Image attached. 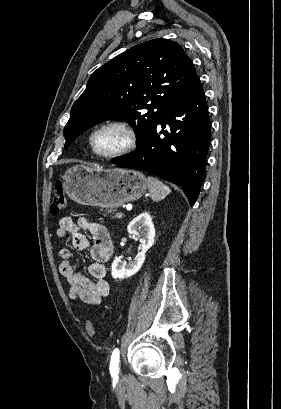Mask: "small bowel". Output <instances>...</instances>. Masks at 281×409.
I'll list each match as a JSON object with an SVG mask.
<instances>
[{
	"mask_svg": "<svg viewBox=\"0 0 281 409\" xmlns=\"http://www.w3.org/2000/svg\"><path fill=\"white\" fill-rule=\"evenodd\" d=\"M82 230L91 234V245ZM56 235L59 239L71 243L78 251L87 249L90 251L88 275H84L77 272L72 265L70 261L73 257L72 251L65 247L59 250V256L62 259L59 270L69 284L70 297L86 304H100L111 291L110 284L106 280V263L113 251L108 230L101 223L87 217H81L76 222L71 217H62Z\"/></svg>",
	"mask_w": 281,
	"mask_h": 409,
	"instance_id": "obj_1",
	"label": "small bowel"
}]
</instances>
